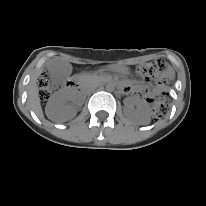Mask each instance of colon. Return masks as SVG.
I'll list each match as a JSON object with an SVG mask.
<instances>
[{
  "instance_id": "1",
  "label": "colon",
  "mask_w": 206,
  "mask_h": 206,
  "mask_svg": "<svg viewBox=\"0 0 206 206\" xmlns=\"http://www.w3.org/2000/svg\"><path fill=\"white\" fill-rule=\"evenodd\" d=\"M137 73L139 76L145 79H153L159 76H162L165 81L170 79L168 75V67L167 64L161 60H155L150 63H146L140 65L137 68ZM52 84L47 78L45 74L39 79V96L41 100H46L49 98L52 92ZM169 108V103L165 98H159L158 100L154 101L152 107L153 117L155 119H161L165 116Z\"/></svg>"
}]
</instances>
